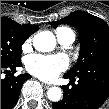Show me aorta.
Returning a JSON list of instances; mask_svg holds the SVG:
<instances>
[{"label":"aorta","mask_w":109,"mask_h":109,"mask_svg":"<svg viewBox=\"0 0 109 109\" xmlns=\"http://www.w3.org/2000/svg\"><path fill=\"white\" fill-rule=\"evenodd\" d=\"M33 46L40 52H50L56 46V39L52 32L41 31L33 38ZM62 90L59 87H51L47 91V97L52 102H58L62 97Z\"/></svg>","instance_id":"aorta-1"}]
</instances>
